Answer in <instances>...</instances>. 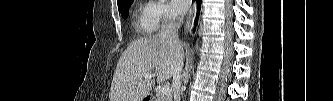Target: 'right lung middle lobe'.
<instances>
[{
  "instance_id": "obj_1",
  "label": "right lung middle lobe",
  "mask_w": 333,
  "mask_h": 101,
  "mask_svg": "<svg viewBox=\"0 0 333 101\" xmlns=\"http://www.w3.org/2000/svg\"><path fill=\"white\" fill-rule=\"evenodd\" d=\"M133 0H125L118 4V9L121 16L126 19L129 15V7L131 6Z\"/></svg>"
}]
</instances>
